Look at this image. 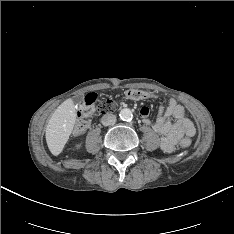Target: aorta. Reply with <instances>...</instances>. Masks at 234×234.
Returning <instances> with one entry per match:
<instances>
[{
	"instance_id": "obj_1",
	"label": "aorta",
	"mask_w": 234,
	"mask_h": 234,
	"mask_svg": "<svg viewBox=\"0 0 234 234\" xmlns=\"http://www.w3.org/2000/svg\"><path fill=\"white\" fill-rule=\"evenodd\" d=\"M119 116L123 121H128L132 118V112L130 109L124 108L120 111Z\"/></svg>"
}]
</instances>
